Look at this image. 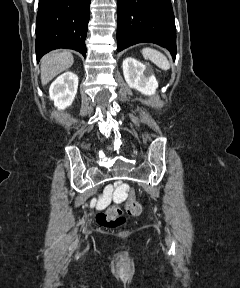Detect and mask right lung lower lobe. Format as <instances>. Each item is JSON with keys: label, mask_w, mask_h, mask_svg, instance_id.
<instances>
[{"label": "right lung lower lobe", "mask_w": 240, "mask_h": 288, "mask_svg": "<svg viewBox=\"0 0 240 288\" xmlns=\"http://www.w3.org/2000/svg\"><path fill=\"white\" fill-rule=\"evenodd\" d=\"M90 3L91 0H39L36 19L38 61L58 48L74 49L86 57Z\"/></svg>", "instance_id": "98d812e1"}]
</instances>
